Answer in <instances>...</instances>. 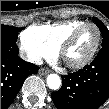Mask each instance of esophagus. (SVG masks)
I'll use <instances>...</instances> for the list:
<instances>
[{"mask_svg": "<svg viewBox=\"0 0 109 109\" xmlns=\"http://www.w3.org/2000/svg\"><path fill=\"white\" fill-rule=\"evenodd\" d=\"M39 74L41 75H46L49 73V71L47 69H44V68H40L39 71H38Z\"/></svg>", "mask_w": 109, "mask_h": 109, "instance_id": "esophagus-1", "label": "esophagus"}]
</instances>
